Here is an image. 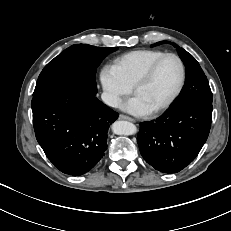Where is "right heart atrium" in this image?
<instances>
[{
    "mask_svg": "<svg viewBox=\"0 0 231 231\" xmlns=\"http://www.w3.org/2000/svg\"><path fill=\"white\" fill-rule=\"evenodd\" d=\"M103 99L111 107H117L125 96L130 94L129 86L111 65H105L99 72Z\"/></svg>",
    "mask_w": 231,
    "mask_h": 231,
    "instance_id": "right-heart-atrium-1",
    "label": "right heart atrium"
}]
</instances>
